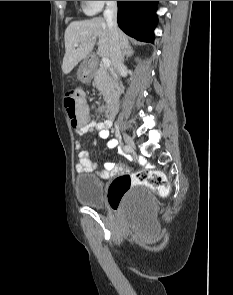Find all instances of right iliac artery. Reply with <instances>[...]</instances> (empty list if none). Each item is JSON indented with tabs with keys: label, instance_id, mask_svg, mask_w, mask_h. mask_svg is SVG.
<instances>
[{
	"label": "right iliac artery",
	"instance_id": "right-iliac-artery-1",
	"mask_svg": "<svg viewBox=\"0 0 233 295\" xmlns=\"http://www.w3.org/2000/svg\"><path fill=\"white\" fill-rule=\"evenodd\" d=\"M123 150H125V153H128V148L123 147Z\"/></svg>",
	"mask_w": 233,
	"mask_h": 295
}]
</instances>
